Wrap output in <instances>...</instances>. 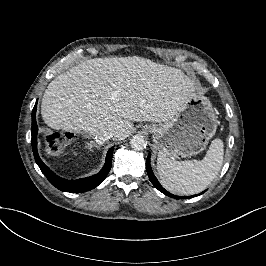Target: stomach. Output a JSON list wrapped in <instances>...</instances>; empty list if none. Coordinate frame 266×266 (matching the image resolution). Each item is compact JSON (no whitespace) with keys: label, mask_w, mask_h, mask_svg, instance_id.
Instances as JSON below:
<instances>
[{"label":"stomach","mask_w":266,"mask_h":266,"mask_svg":"<svg viewBox=\"0 0 266 266\" xmlns=\"http://www.w3.org/2000/svg\"><path fill=\"white\" fill-rule=\"evenodd\" d=\"M218 120L212 103L205 96L193 95L185 109L172 119L148 124L144 131L154 134L160 153L170 159H182L202 152L215 135Z\"/></svg>","instance_id":"0dacf381"}]
</instances>
